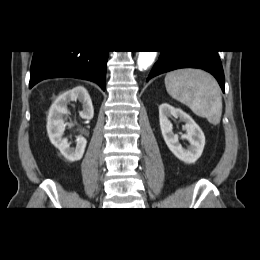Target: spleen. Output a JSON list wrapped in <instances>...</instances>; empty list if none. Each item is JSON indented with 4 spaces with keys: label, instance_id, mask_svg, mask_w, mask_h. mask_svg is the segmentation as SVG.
<instances>
[{
    "label": "spleen",
    "instance_id": "spleen-1",
    "mask_svg": "<svg viewBox=\"0 0 260 260\" xmlns=\"http://www.w3.org/2000/svg\"><path fill=\"white\" fill-rule=\"evenodd\" d=\"M168 94L188 106L199 117L218 125L222 115V96L217 81L198 69H179L167 73Z\"/></svg>",
    "mask_w": 260,
    "mask_h": 260
}]
</instances>
